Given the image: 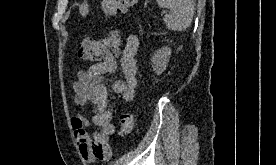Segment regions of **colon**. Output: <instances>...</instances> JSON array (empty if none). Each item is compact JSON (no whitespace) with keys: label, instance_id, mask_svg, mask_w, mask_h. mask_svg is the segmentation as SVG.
Wrapping results in <instances>:
<instances>
[{"label":"colon","instance_id":"colon-1","mask_svg":"<svg viewBox=\"0 0 276 165\" xmlns=\"http://www.w3.org/2000/svg\"><path fill=\"white\" fill-rule=\"evenodd\" d=\"M136 0H102L101 11L107 17L125 13L130 10ZM121 37L117 29L111 28L108 35L100 40L84 38L81 41L78 53L82 59L96 62L113 60L119 54ZM120 134L131 133L135 124L133 112H124L119 116Z\"/></svg>","mask_w":276,"mask_h":165}]
</instances>
